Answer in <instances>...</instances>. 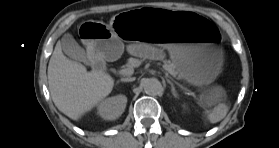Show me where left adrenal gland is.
Returning a JSON list of instances; mask_svg holds the SVG:
<instances>
[{
  "instance_id": "a2214340",
  "label": "left adrenal gland",
  "mask_w": 279,
  "mask_h": 148,
  "mask_svg": "<svg viewBox=\"0 0 279 148\" xmlns=\"http://www.w3.org/2000/svg\"><path fill=\"white\" fill-rule=\"evenodd\" d=\"M167 82L171 85V92H172V95H173L175 98H177L178 96H177V93H176V90H175V87H174L173 83H172L171 81H169V80H167Z\"/></svg>"
}]
</instances>
